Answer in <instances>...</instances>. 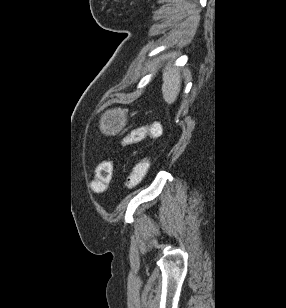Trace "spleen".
I'll return each mask as SVG.
<instances>
[{"label":"spleen","instance_id":"obj_1","mask_svg":"<svg viewBox=\"0 0 286 308\" xmlns=\"http://www.w3.org/2000/svg\"><path fill=\"white\" fill-rule=\"evenodd\" d=\"M181 87V76L178 69H168L163 74L162 93L168 104L175 102Z\"/></svg>","mask_w":286,"mask_h":308}]
</instances>
